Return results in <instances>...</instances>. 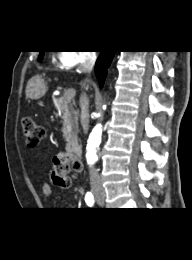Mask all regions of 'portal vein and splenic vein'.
Returning <instances> with one entry per match:
<instances>
[{
	"label": "portal vein and splenic vein",
	"instance_id": "1",
	"mask_svg": "<svg viewBox=\"0 0 192 260\" xmlns=\"http://www.w3.org/2000/svg\"><path fill=\"white\" fill-rule=\"evenodd\" d=\"M76 94V91L74 89H68L67 91H65L64 93V98L67 100V101H70L74 98Z\"/></svg>",
	"mask_w": 192,
	"mask_h": 260
}]
</instances>
